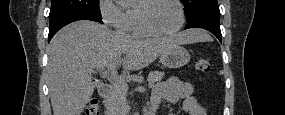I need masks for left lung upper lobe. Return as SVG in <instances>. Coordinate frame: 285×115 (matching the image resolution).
<instances>
[{"label": "left lung upper lobe", "mask_w": 285, "mask_h": 115, "mask_svg": "<svg viewBox=\"0 0 285 115\" xmlns=\"http://www.w3.org/2000/svg\"><path fill=\"white\" fill-rule=\"evenodd\" d=\"M185 6V16L188 17L195 10L209 4H217V0H181Z\"/></svg>", "instance_id": "obj_1"}]
</instances>
